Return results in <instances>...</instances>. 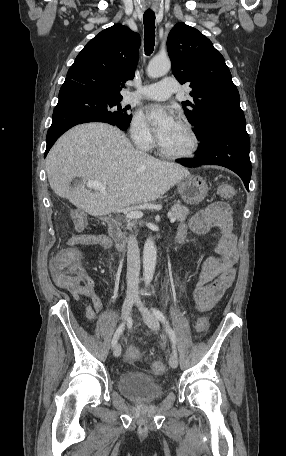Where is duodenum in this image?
Returning <instances> with one entry per match:
<instances>
[{"label": "duodenum", "instance_id": "410a0bca", "mask_svg": "<svg viewBox=\"0 0 286 456\" xmlns=\"http://www.w3.org/2000/svg\"><path fill=\"white\" fill-rule=\"evenodd\" d=\"M107 230H108V235L109 239L111 242L120 250H125L126 249V241L123 237V234L121 232V228L119 223L114 220L110 219L107 221ZM175 241L177 244H182L185 241V236H182L181 234H177Z\"/></svg>", "mask_w": 286, "mask_h": 456}]
</instances>
